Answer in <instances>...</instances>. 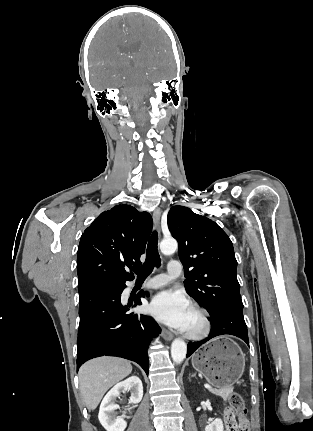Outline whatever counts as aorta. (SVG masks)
<instances>
[{
	"instance_id": "obj_1",
	"label": "aorta",
	"mask_w": 313,
	"mask_h": 431,
	"mask_svg": "<svg viewBox=\"0 0 313 431\" xmlns=\"http://www.w3.org/2000/svg\"><path fill=\"white\" fill-rule=\"evenodd\" d=\"M178 248L177 241L173 238L164 239L160 243V250L164 255H171L175 253ZM187 353V345L186 343L177 338L172 342L171 345V357L176 364H180Z\"/></svg>"
}]
</instances>
